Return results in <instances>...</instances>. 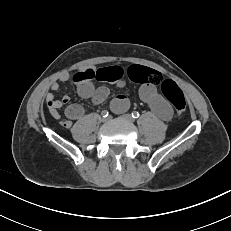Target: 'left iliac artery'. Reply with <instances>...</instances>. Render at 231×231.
<instances>
[{"instance_id":"obj_1","label":"left iliac artery","mask_w":231,"mask_h":231,"mask_svg":"<svg viewBox=\"0 0 231 231\" xmlns=\"http://www.w3.org/2000/svg\"><path fill=\"white\" fill-rule=\"evenodd\" d=\"M132 117L135 118V119L139 118V117H140L139 112L133 111V112H132Z\"/></svg>"}]
</instances>
